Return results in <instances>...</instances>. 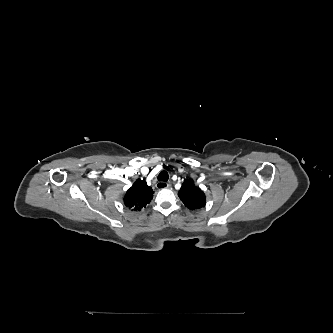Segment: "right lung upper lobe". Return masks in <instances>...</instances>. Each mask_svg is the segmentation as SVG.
Listing matches in <instances>:
<instances>
[{"label": "right lung upper lobe", "instance_id": "cb5924a9", "mask_svg": "<svg viewBox=\"0 0 333 333\" xmlns=\"http://www.w3.org/2000/svg\"><path fill=\"white\" fill-rule=\"evenodd\" d=\"M152 188L144 180H136L124 196V204L132 210H141L153 198Z\"/></svg>", "mask_w": 333, "mask_h": 333}]
</instances>
